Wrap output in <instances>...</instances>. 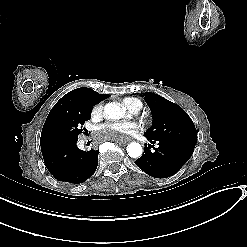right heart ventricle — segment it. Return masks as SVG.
I'll return each mask as SVG.
<instances>
[{"label": "right heart ventricle", "mask_w": 247, "mask_h": 247, "mask_svg": "<svg viewBox=\"0 0 247 247\" xmlns=\"http://www.w3.org/2000/svg\"><path fill=\"white\" fill-rule=\"evenodd\" d=\"M121 104L124 108L127 109L128 114L136 113L142 107V102L140 100L135 99V98H129V97L121 99Z\"/></svg>", "instance_id": "obj_1"}]
</instances>
